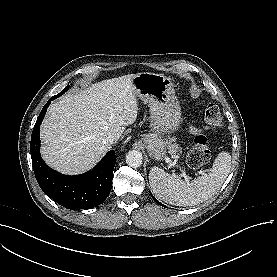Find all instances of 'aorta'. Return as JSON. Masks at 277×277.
Wrapping results in <instances>:
<instances>
[{
    "mask_svg": "<svg viewBox=\"0 0 277 277\" xmlns=\"http://www.w3.org/2000/svg\"><path fill=\"white\" fill-rule=\"evenodd\" d=\"M143 156L138 150H130L126 155V163L132 168H137L142 165Z\"/></svg>",
    "mask_w": 277,
    "mask_h": 277,
    "instance_id": "762f6f07",
    "label": "aorta"
}]
</instances>
